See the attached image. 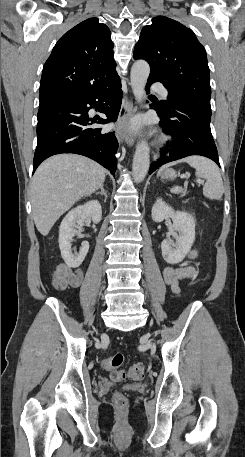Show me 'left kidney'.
<instances>
[{
	"label": "left kidney",
	"instance_id": "left-kidney-1",
	"mask_svg": "<svg viewBox=\"0 0 245 457\" xmlns=\"http://www.w3.org/2000/svg\"><path fill=\"white\" fill-rule=\"evenodd\" d=\"M152 218L155 222H162L164 218H172L173 220V239H164L161 243L162 257L169 265H177L182 263L187 253H189L195 241V220L192 214L184 212V210H173L169 204H166L162 198H157L152 206Z\"/></svg>",
	"mask_w": 245,
	"mask_h": 457
}]
</instances>
